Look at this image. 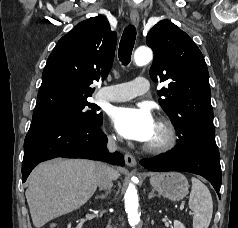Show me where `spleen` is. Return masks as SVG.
Returning a JSON list of instances; mask_svg holds the SVG:
<instances>
[{
  "mask_svg": "<svg viewBox=\"0 0 238 228\" xmlns=\"http://www.w3.org/2000/svg\"><path fill=\"white\" fill-rule=\"evenodd\" d=\"M191 181L189 208L194 212L193 228H208L213 213L210 191L199 179L192 177Z\"/></svg>",
  "mask_w": 238,
  "mask_h": 228,
  "instance_id": "obj_1",
  "label": "spleen"
}]
</instances>
